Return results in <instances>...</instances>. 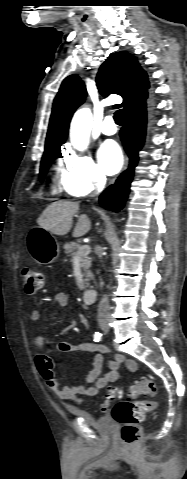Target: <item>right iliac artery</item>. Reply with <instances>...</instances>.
I'll use <instances>...</instances> for the list:
<instances>
[{
  "mask_svg": "<svg viewBox=\"0 0 187 479\" xmlns=\"http://www.w3.org/2000/svg\"><path fill=\"white\" fill-rule=\"evenodd\" d=\"M102 339V333L95 332L94 334V341L99 342Z\"/></svg>",
  "mask_w": 187,
  "mask_h": 479,
  "instance_id": "right-iliac-artery-1",
  "label": "right iliac artery"
}]
</instances>
